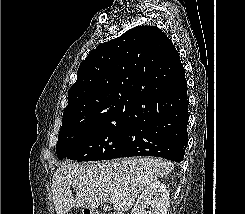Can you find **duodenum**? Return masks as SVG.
<instances>
[{
	"mask_svg": "<svg viewBox=\"0 0 245 214\" xmlns=\"http://www.w3.org/2000/svg\"><path fill=\"white\" fill-rule=\"evenodd\" d=\"M89 214H98V213H96V212H91V213H89Z\"/></svg>",
	"mask_w": 245,
	"mask_h": 214,
	"instance_id": "obj_1",
	"label": "duodenum"
}]
</instances>
